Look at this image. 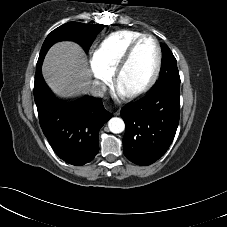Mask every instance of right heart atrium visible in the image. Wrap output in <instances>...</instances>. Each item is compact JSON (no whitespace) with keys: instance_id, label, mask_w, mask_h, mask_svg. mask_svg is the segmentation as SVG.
I'll use <instances>...</instances> for the list:
<instances>
[{"instance_id":"obj_1","label":"right heart atrium","mask_w":227,"mask_h":227,"mask_svg":"<svg viewBox=\"0 0 227 227\" xmlns=\"http://www.w3.org/2000/svg\"><path fill=\"white\" fill-rule=\"evenodd\" d=\"M89 65L94 84L101 89L105 88L111 80V74L99 64L95 56L90 58Z\"/></svg>"}]
</instances>
